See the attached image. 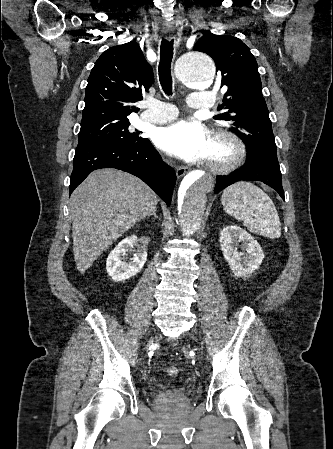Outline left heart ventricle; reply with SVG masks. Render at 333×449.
Masks as SVG:
<instances>
[{
    "mask_svg": "<svg viewBox=\"0 0 333 449\" xmlns=\"http://www.w3.org/2000/svg\"><path fill=\"white\" fill-rule=\"evenodd\" d=\"M226 157V151L221 146H218L214 144L211 141L210 150L207 156V159H213V160H221Z\"/></svg>",
    "mask_w": 333,
    "mask_h": 449,
    "instance_id": "obj_1",
    "label": "left heart ventricle"
}]
</instances>
